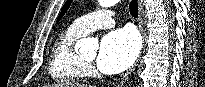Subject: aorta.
<instances>
[{
  "instance_id": "aorta-1",
  "label": "aorta",
  "mask_w": 205,
  "mask_h": 87,
  "mask_svg": "<svg viewBox=\"0 0 205 87\" xmlns=\"http://www.w3.org/2000/svg\"><path fill=\"white\" fill-rule=\"evenodd\" d=\"M119 0H99V4L101 7L108 8L117 4ZM95 40L92 38H84L78 41V46L83 50H91L95 49Z\"/></svg>"
}]
</instances>
